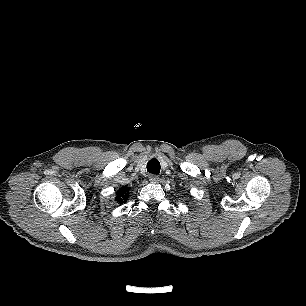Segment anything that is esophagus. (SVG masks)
Wrapping results in <instances>:
<instances>
[{
	"instance_id": "obj_1",
	"label": "esophagus",
	"mask_w": 306,
	"mask_h": 306,
	"mask_svg": "<svg viewBox=\"0 0 306 306\" xmlns=\"http://www.w3.org/2000/svg\"><path fill=\"white\" fill-rule=\"evenodd\" d=\"M149 181L151 183H157L159 181V176L158 175H155V174H151L149 176Z\"/></svg>"
}]
</instances>
